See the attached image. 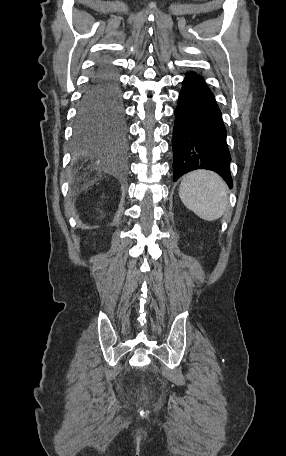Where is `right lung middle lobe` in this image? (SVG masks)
I'll return each instance as SVG.
<instances>
[{"instance_id": "obj_1", "label": "right lung middle lobe", "mask_w": 286, "mask_h": 456, "mask_svg": "<svg viewBox=\"0 0 286 456\" xmlns=\"http://www.w3.org/2000/svg\"><path fill=\"white\" fill-rule=\"evenodd\" d=\"M108 130H112L121 134V138H123L126 133L124 124L108 126L101 123L91 122L78 128L79 133L82 135L97 134Z\"/></svg>"}]
</instances>
